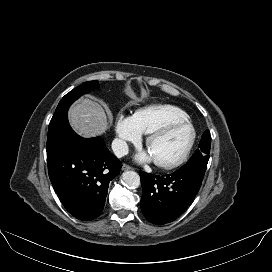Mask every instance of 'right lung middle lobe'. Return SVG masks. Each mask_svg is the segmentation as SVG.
Instances as JSON below:
<instances>
[{"instance_id": "dd1d6c3e", "label": "right lung middle lobe", "mask_w": 272, "mask_h": 272, "mask_svg": "<svg viewBox=\"0 0 272 272\" xmlns=\"http://www.w3.org/2000/svg\"><path fill=\"white\" fill-rule=\"evenodd\" d=\"M98 86V81H88L67 93L59 102L50 121L47 137V149L54 146L70 127L67 112L70 105L83 94Z\"/></svg>"}]
</instances>
